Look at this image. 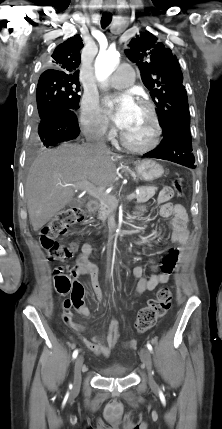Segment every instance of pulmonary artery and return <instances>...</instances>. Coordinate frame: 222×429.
I'll return each instance as SVG.
<instances>
[{"mask_svg":"<svg viewBox=\"0 0 222 429\" xmlns=\"http://www.w3.org/2000/svg\"><path fill=\"white\" fill-rule=\"evenodd\" d=\"M134 69L130 64H122L110 77L109 83L115 88H124L129 86L134 80Z\"/></svg>","mask_w":222,"mask_h":429,"instance_id":"pulmonary-artery-1","label":"pulmonary artery"}]
</instances>
